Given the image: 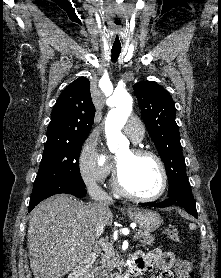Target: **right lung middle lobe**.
Listing matches in <instances>:
<instances>
[{"label": "right lung middle lobe", "instance_id": "1", "mask_svg": "<svg viewBox=\"0 0 221 278\" xmlns=\"http://www.w3.org/2000/svg\"><path fill=\"white\" fill-rule=\"evenodd\" d=\"M86 137L45 144L32 195L62 181L84 184L79 170V155Z\"/></svg>", "mask_w": 221, "mask_h": 278}]
</instances>
